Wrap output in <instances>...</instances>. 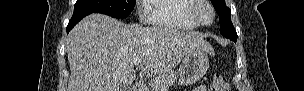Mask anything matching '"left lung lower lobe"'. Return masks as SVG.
Segmentation results:
<instances>
[{"mask_svg": "<svg viewBox=\"0 0 304 91\" xmlns=\"http://www.w3.org/2000/svg\"><path fill=\"white\" fill-rule=\"evenodd\" d=\"M237 39H234L233 41L236 42Z\"/></svg>", "mask_w": 304, "mask_h": 91, "instance_id": "1", "label": "left lung lower lobe"}]
</instances>
